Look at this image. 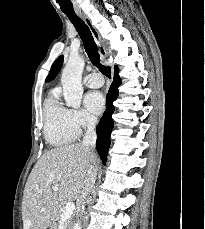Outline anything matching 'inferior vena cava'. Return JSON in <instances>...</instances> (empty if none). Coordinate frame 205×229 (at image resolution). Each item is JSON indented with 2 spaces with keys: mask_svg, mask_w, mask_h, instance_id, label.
Wrapping results in <instances>:
<instances>
[{
  "mask_svg": "<svg viewBox=\"0 0 205 229\" xmlns=\"http://www.w3.org/2000/svg\"><path fill=\"white\" fill-rule=\"evenodd\" d=\"M86 123H87V130L83 137L82 144L83 146L86 147L88 151H92L95 146L96 138H97L96 130H95L97 119L94 116L87 115ZM95 180H96V172H90V175L86 179L85 187L80 197L81 204H84L86 202L87 197L94 186ZM81 216H83V213H81Z\"/></svg>",
  "mask_w": 205,
  "mask_h": 229,
  "instance_id": "602c4592",
  "label": "inferior vena cava"
}]
</instances>
